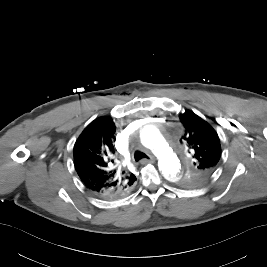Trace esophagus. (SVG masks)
I'll return each mask as SVG.
<instances>
[{
    "mask_svg": "<svg viewBox=\"0 0 267 267\" xmlns=\"http://www.w3.org/2000/svg\"><path fill=\"white\" fill-rule=\"evenodd\" d=\"M154 162V159L152 158V157H150V158H145V159H142L141 161H140V163L141 164H147V163H153Z\"/></svg>",
    "mask_w": 267,
    "mask_h": 267,
    "instance_id": "esophagus-1",
    "label": "esophagus"
}]
</instances>
